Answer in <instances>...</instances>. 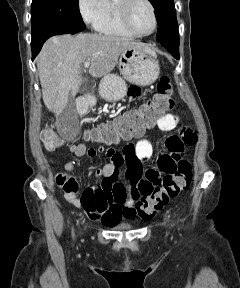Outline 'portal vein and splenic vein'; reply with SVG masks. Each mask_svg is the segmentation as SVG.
Masks as SVG:
<instances>
[{"label":"portal vein and splenic vein","instance_id":"obj_1","mask_svg":"<svg viewBox=\"0 0 240 288\" xmlns=\"http://www.w3.org/2000/svg\"><path fill=\"white\" fill-rule=\"evenodd\" d=\"M90 66V61H86L85 63H84V68H88Z\"/></svg>","mask_w":240,"mask_h":288}]
</instances>
